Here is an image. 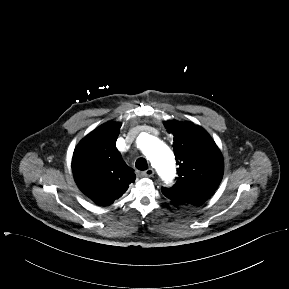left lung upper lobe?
<instances>
[{
  "instance_id": "5c2ea615",
  "label": "left lung upper lobe",
  "mask_w": 289,
  "mask_h": 289,
  "mask_svg": "<svg viewBox=\"0 0 289 289\" xmlns=\"http://www.w3.org/2000/svg\"><path fill=\"white\" fill-rule=\"evenodd\" d=\"M174 136L178 178L169 189L161 188L171 201L182 205H201L219 186L224 170L221 152L210 135L191 122H164Z\"/></svg>"
}]
</instances>
